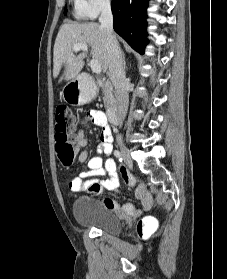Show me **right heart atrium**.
<instances>
[{
  "instance_id": "d8ad5b80",
  "label": "right heart atrium",
  "mask_w": 227,
  "mask_h": 279,
  "mask_svg": "<svg viewBox=\"0 0 227 279\" xmlns=\"http://www.w3.org/2000/svg\"><path fill=\"white\" fill-rule=\"evenodd\" d=\"M80 8L89 17L97 16L109 7L111 0H79Z\"/></svg>"
}]
</instances>
